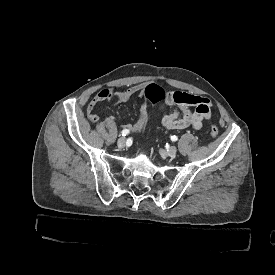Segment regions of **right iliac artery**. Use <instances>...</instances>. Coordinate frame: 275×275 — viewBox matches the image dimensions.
<instances>
[{
  "mask_svg": "<svg viewBox=\"0 0 275 275\" xmlns=\"http://www.w3.org/2000/svg\"><path fill=\"white\" fill-rule=\"evenodd\" d=\"M128 133H129V130H128V129H124V130H122V132H121L122 136H126Z\"/></svg>",
  "mask_w": 275,
  "mask_h": 275,
  "instance_id": "82829eb1",
  "label": "right iliac artery"
}]
</instances>
